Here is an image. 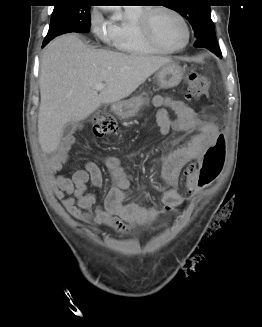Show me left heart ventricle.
<instances>
[{
  "label": "left heart ventricle",
  "instance_id": "obj_1",
  "mask_svg": "<svg viewBox=\"0 0 262 327\" xmlns=\"http://www.w3.org/2000/svg\"><path fill=\"white\" fill-rule=\"evenodd\" d=\"M151 24L155 37L164 46L177 48L185 42V27L175 15L156 11L152 15Z\"/></svg>",
  "mask_w": 262,
  "mask_h": 327
}]
</instances>
